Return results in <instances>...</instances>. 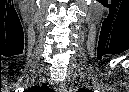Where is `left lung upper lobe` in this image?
I'll return each mask as SVG.
<instances>
[{
  "label": "left lung upper lobe",
  "mask_w": 129,
  "mask_h": 92,
  "mask_svg": "<svg viewBox=\"0 0 129 92\" xmlns=\"http://www.w3.org/2000/svg\"><path fill=\"white\" fill-rule=\"evenodd\" d=\"M80 92H90V91L86 89H81Z\"/></svg>",
  "instance_id": "left-lung-upper-lobe-1"
}]
</instances>
